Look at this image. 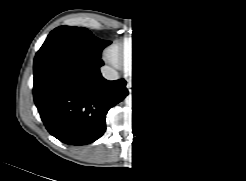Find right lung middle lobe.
Listing matches in <instances>:
<instances>
[{
    "mask_svg": "<svg viewBox=\"0 0 246 181\" xmlns=\"http://www.w3.org/2000/svg\"><path fill=\"white\" fill-rule=\"evenodd\" d=\"M111 41L96 38L89 30L83 27L60 26L50 32L42 47L36 53L34 64L41 62L47 56L60 52L70 51L82 54L88 60L102 66L103 49Z\"/></svg>",
    "mask_w": 246,
    "mask_h": 181,
    "instance_id": "right-lung-middle-lobe-1",
    "label": "right lung middle lobe"
}]
</instances>
